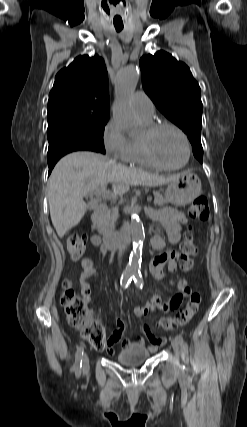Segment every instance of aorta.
I'll list each match as a JSON object with an SVG mask.
<instances>
[{
  "mask_svg": "<svg viewBox=\"0 0 247 427\" xmlns=\"http://www.w3.org/2000/svg\"><path fill=\"white\" fill-rule=\"evenodd\" d=\"M138 80L139 74L137 68L134 66H125L118 71L115 82L113 119L129 136L137 135L140 130L139 123L130 105ZM130 228L133 240V251L130 254L126 273L135 274L140 267V256L145 239L143 223L136 213L131 215Z\"/></svg>",
  "mask_w": 247,
  "mask_h": 427,
  "instance_id": "obj_1",
  "label": "aorta"
}]
</instances>
